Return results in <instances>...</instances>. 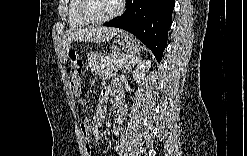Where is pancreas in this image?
<instances>
[{
    "instance_id": "cf45deb5",
    "label": "pancreas",
    "mask_w": 247,
    "mask_h": 156,
    "mask_svg": "<svg viewBox=\"0 0 247 156\" xmlns=\"http://www.w3.org/2000/svg\"><path fill=\"white\" fill-rule=\"evenodd\" d=\"M122 58H125V61H127L128 55L124 53H111L106 58H104L102 60V65L96 71L99 77L103 80H106L116 75L118 69L121 68L125 63V62H118V60Z\"/></svg>"
}]
</instances>
